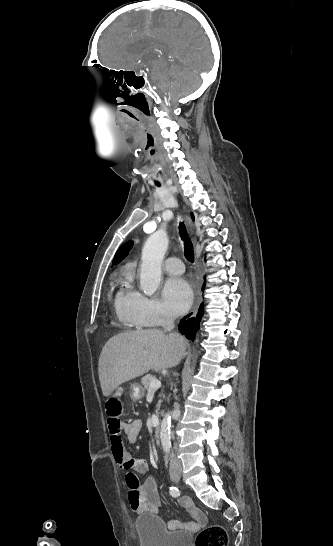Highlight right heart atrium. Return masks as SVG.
<instances>
[{
	"mask_svg": "<svg viewBox=\"0 0 333 546\" xmlns=\"http://www.w3.org/2000/svg\"><path fill=\"white\" fill-rule=\"evenodd\" d=\"M129 312L138 323L146 326L159 325L170 320L169 313L157 299L135 290L129 301Z\"/></svg>",
	"mask_w": 333,
	"mask_h": 546,
	"instance_id": "right-heart-atrium-1",
	"label": "right heart atrium"
}]
</instances>
